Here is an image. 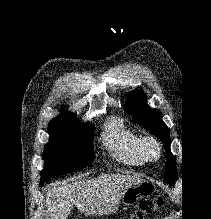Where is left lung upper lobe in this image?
Listing matches in <instances>:
<instances>
[{"label": "left lung upper lobe", "mask_w": 211, "mask_h": 219, "mask_svg": "<svg viewBox=\"0 0 211 219\" xmlns=\"http://www.w3.org/2000/svg\"><path fill=\"white\" fill-rule=\"evenodd\" d=\"M125 111L133 116V121L145 127L150 133L160 138L166 151L168 160L165 179L168 184L173 185L176 178V159L170 152L169 129L162 121V114L158 109L150 108L146 103V97L140 90L134 91L128 98Z\"/></svg>", "instance_id": "obj_1"}]
</instances>
